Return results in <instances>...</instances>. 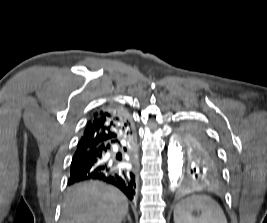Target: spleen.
Masks as SVG:
<instances>
[{
    "label": "spleen",
    "instance_id": "3e777b00",
    "mask_svg": "<svg viewBox=\"0 0 267 223\" xmlns=\"http://www.w3.org/2000/svg\"><path fill=\"white\" fill-rule=\"evenodd\" d=\"M200 210L195 218L192 211ZM175 223H227L221 206L209 196L195 195L182 200L174 208Z\"/></svg>",
    "mask_w": 267,
    "mask_h": 223
}]
</instances>
